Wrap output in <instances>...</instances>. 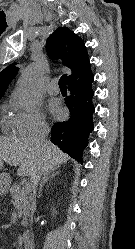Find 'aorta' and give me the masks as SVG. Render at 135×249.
I'll return each instance as SVG.
<instances>
[{
  "mask_svg": "<svg viewBox=\"0 0 135 249\" xmlns=\"http://www.w3.org/2000/svg\"><path fill=\"white\" fill-rule=\"evenodd\" d=\"M43 71L33 65L21 77L17 89L18 102L27 109H33L42 97Z\"/></svg>",
  "mask_w": 135,
  "mask_h": 249,
  "instance_id": "aorta-1",
  "label": "aorta"
}]
</instances>
